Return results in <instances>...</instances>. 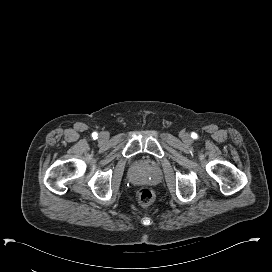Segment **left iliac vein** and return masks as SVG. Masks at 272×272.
<instances>
[{
  "label": "left iliac vein",
  "mask_w": 272,
  "mask_h": 272,
  "mask_svg": "<svg viewBox=\"0 0 272 272\" xmlns=\"http://www.w3.org/2000/svg\"><path fill=\"white\" fill-rule=\"evenodd\" d=\"M181 138H182L183 141H185V142H189V141H190V136H189L188 134H183V135L181 136Z\"/></svg>",
  "instance_id": "left-iliac-vein-1"
}]
</instances>
